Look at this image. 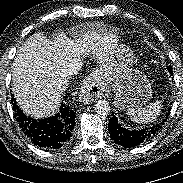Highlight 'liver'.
<instances>
[{"label": "liver", "mask_w": 183, "mask_h": 183, "mask_svg": "<svg viewBox=\"0 0 183 183\" xmlns=\"http://www.w3.org/2000/svg\"><path fill=\"white\" fill-rule=\"evenodd\" d=\"M115 34L102 36L101 32H88L72 40L58 33L54 41L40 32L27 39L18 50L13 64L12 90L28 115L43 118L59 106L67 85L65 64L79 59L92 50L95 58L105 64L117 45Z\"/></svg>", "instance_id": "6515ba94"}]
</instances>
